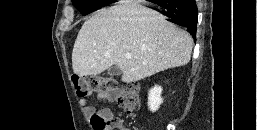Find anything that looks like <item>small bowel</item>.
Returning a JSON list of instances; mask_svg holds the SVG:
<instances>
[{
	"label": "small bowel",
	"instance_id": "1",
	"mask_svg": "<svg viewBox=\"0 0 257 130\" xmlns=\"http://www.w3.org/2000/svg\"><path fill=\"white\" fill-rule=\"evenodd\" d=\"M99 97L101 99H109L107 96H104L102 94H99ZM79 103L85 109L86 115L90 116V115L94 114V112H95L94 108L88 104V100L85 97L80 98ZM98 113H101L103 115H112V112L110 109H103V110L99 111Z\"/></svg>",
	"mask_w": 257,
	"mask_h": 130
}]
</instances>
